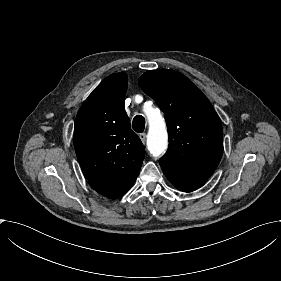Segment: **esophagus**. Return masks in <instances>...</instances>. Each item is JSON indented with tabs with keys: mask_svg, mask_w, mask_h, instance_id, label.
<instances>
[{
	"mask_svg": "<svg viewBox=\"0 0 281 281\" xmlns=\"http://www.w3.org/2000/svg\"><path fill=\"white\" fill-rule=\"evenodd\" d=\"M139 137H140L141 141H142L143 143H145V141H146V133H141V134L139 135Z\"/></svg>",
	"mask_w": 281,
	"mask_h": 281,
	"instance_id": "obj_1",
	"label": "esophagus"
}]
</instances>
